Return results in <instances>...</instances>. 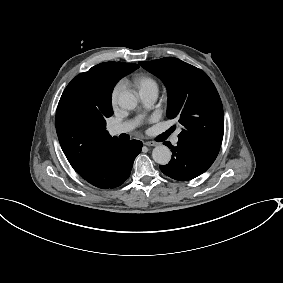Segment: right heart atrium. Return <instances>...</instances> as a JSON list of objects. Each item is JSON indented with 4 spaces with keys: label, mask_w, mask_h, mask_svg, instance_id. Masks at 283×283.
Returning <instances> with one entry per match:
<instances>
[{
    "label": "right heart atrium",
    "mask_w": 283,
    "mask_h": 283,
    "mask_svg": "<svg viewBox=\"0 0 283 283\" xmlns=\"http://www.w3.org/2000/svg\"><path fill=\"white\" fill-rule=\"evenodd\" d=\"M123 89V85L120 82L115 83L110 90V103L115 107L118 103V98Z\"/></svg>",
    "instance_id": "right-heart-atrium-1"
}]
</instances>
